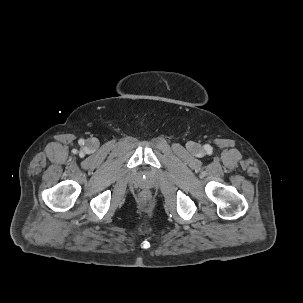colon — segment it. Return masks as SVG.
<instances>
[{"label":"colon","instance_id":"5ec220e1","mask_svg":"<svg viewBox=\"0 0 303 303\" xmlns=\"http://www.w3.org/2000/svg\"><path fill=\"white\" fill-rule=\"evenodd\" d=\"M148 197H149L148 193H144V194H143V198H144V199H148Z\"/></svg>","mask_w":303,"mask_h":303}]
</instances>
